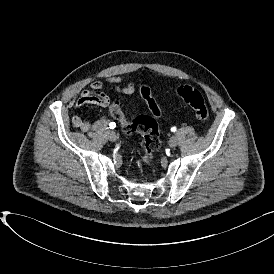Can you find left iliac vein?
Segmentation results:
<instances>
[{"instance_id": "obj_1", "label": "left iliac vein", "mask_w": 274, "mask_h": 274, "mask_svg": "<svg viewBox=\"0 0 274 274\" xmlns=\"http://www.w3.org/2000/svg\"><path fill=\"white\" fill-rule=\"evenodd\" d=\"M169 145L170 147H176L178 145V139L175 136L171 137L169 140Z\"/></svg>"}]
</instances>
